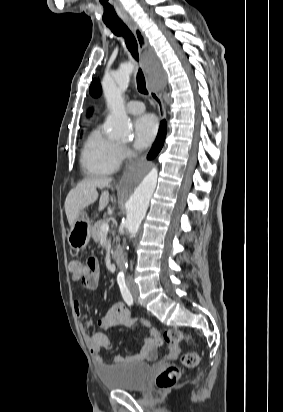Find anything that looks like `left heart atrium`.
Returning <instances> with one entry per match:
<instances>
[{"label":"left heart atrium","mask_w":283,"mask_h":412,"mask_svg":"<svg viewBox=\"0 0 283 412\" xmlns=\"http://www.w3.org/2000/svg\"><path fill=\"white\" fill-rule=\"evenodd\" d=\"M134 145L138 149H144L151 145L158 133V121L154 115L145 114L134 122Z\"/></svg>","instance_id":"left-heart-atrium-1"}]
</instances>
